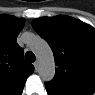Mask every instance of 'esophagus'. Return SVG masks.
I'll return each mask as SVG.
<instances>
[{
    "instance_id": "obj_1",
    "label": "esophagus",
    "mask_w": 95,
    "mask_h": 95,
    "mask_svg": "<svg viewBox=\"0 0 95 95\" xmlns=\"http://www.w3.org/2000/svg\"><path fill=\"white\" fill-rule=\"evenodd\" d=\"M33 65H34L35 70L37 71L38 70V65H39L38 61H35Z\"/></svg>"
}]
</instances>
